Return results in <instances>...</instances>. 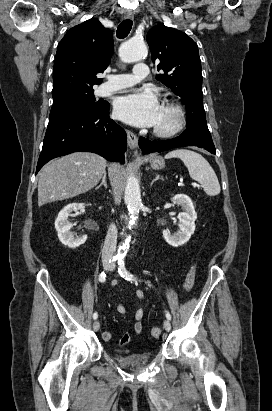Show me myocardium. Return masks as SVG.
I'll return each mask as SVG.
<instances>
[{
    "instance_id": "1",
    "label": "myocardium",
    "mask_w": 272,
    "mask_h": 411,
    "mask_svg": "<svg viewBox=\"0 0 272 411\" xmlns=\"http://www.w3.org/2000/svg\"><path fill=\"white\" fill-rule=\"evenodd\" d=\"M162 112L171 117V122L168 125H156L154 134L161 138H169L178 134L185 126L186 116L180 105L174 102H167Z\"/></svg>"
}]
</instances>
